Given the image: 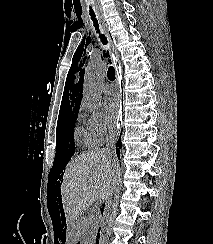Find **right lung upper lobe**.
<instances>
[{"label":"right lung upper lobe","mask_w":213,"mask_h":244,"mask_svg":"<svg viewBox=\"0 0 213 244\" xmlns=\"http://www.w3.org/2000/svg\"><path fill=\"white\" fill-rule=\"evenodd\" d=\"M81 98H82V88L79 80V82L73 86V89H70V94L68 91L66 95H63L59 114H62L64 112L73 109H79L81 104Z\"/></svg>","instance_id":"1"}]
</instances>
